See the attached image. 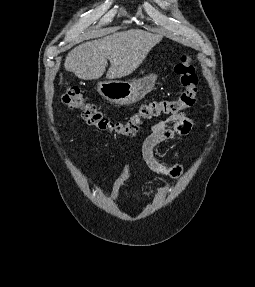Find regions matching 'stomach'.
<instances>
[{
	"label": "stomach",
	"mask_w": 255,
	"mask_h": 287,
	"mask_svg": "<svg viewBox=\"0 0 255 287\" xmlns=\"http://www.w3.org/2000/svg\"><path fill=\"white\" fill-rule=\"evenodd\" d=\"M153 86V78L134 80V82L110 80V82H98L97 92L111 104L131 106V104L143 100L144 96L153 90Z\"/></svg>",
	"instance_id": "0dacf381"
}]
</instances>
